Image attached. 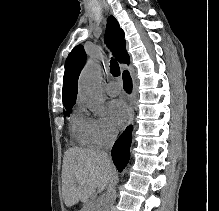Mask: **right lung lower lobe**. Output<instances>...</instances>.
Listing matches in <instances>:
<instances>
[{"mask_svg": "<svg viewBox=\"0 0 219 211\" xmlns=\"http://www.w3.org/2000/svg\"><path fill=\"white\" fill-rule=\"evenodd\" d=\"M123 86L127 92H131L132 80L128 71L123 72ZM132 126L126 128L125 132L117 139L112 149V158L115 166L121 172L127 165L130 158V145Z\"/></svg>", "mask_w": 219, "mask_h": 211, "instance_id": "right-lung-lower-lobe-1", "label": "right lung lower lobe"}]
</instances>
